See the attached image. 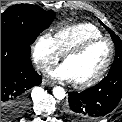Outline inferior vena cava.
Wrapping results in <instances>:
<instances>
[{
	"label": "inferior vena cava",
	"mask_w": 122,
	"mask_h": 122,
	"mask_svg": "<svg viewBox=\"0 0 122 122\" xmlns=\"http://www.w3.org/2000/svg\"><path fill=\"white\" fill-rule=\"evenodd\" d=\"M37 68L41 71V72H49L51 67L48 65H37Z\"/></svg>",
	"instance_id": "602c4592"
}]
</instances>
